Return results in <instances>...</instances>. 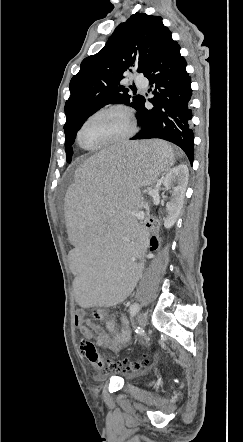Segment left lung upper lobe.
<instances>
[{
  "mask_svg": "<svg viewBox=\"0 0 243 442\" xmlns=\"http://www.w3.org/2000/svg\"><path fill=\"white\" fill-rule=\"evenodd\" d=\"M169 34L160 16L137 12L117 26L97 54L82 61L80 71L70 81L71 96L65 104L67 162L72 160L71 146L77 131L97 110L112 103H124L139 110L145 98L131 97L120 81L123 74L133 70L144 74Z\"/></svg>",
  "mask_w": 243,
  "mask_h": 442,
  "instance_id": "left-lung-upper-lobe-1",
  "label": "left lung upper lobe"
}]
</instances>
